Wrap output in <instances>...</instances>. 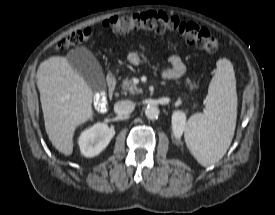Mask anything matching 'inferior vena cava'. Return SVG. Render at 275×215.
Instances as JSON below:
<instances>
[{"label":"inferior vena cava","mask_w":275,"mask_h":215,"mask_svg":"<svg viewBox=\"0 0 275 215\" xmlns=\"http://www.w3.org/2000/svg\"><path fill=\"white\" fill-rule=\"evenodd\" d=\"M134 103L130 100H123L115 103L114 111L116 114H128L134 110Z\"/></svg>","instance_id":"inferior-vena-cava-1"}]
</instances>
